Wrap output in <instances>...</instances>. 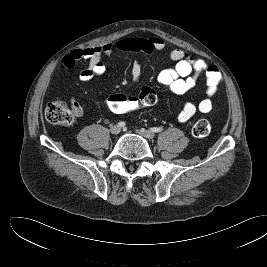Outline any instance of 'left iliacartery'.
<instances>
[{"mask_svg": "<svg viewBox=\"0 0 267 267\" xmlns=\"http://www.w3.org/2000/svg\"><path fill=\"white\" fill-rule=\"evenodd\" d=\"M150 130L153 131V132L158 133V132H162L163 131V128H161V127H153Z\"/></svg>", "mask_w": 267, "mask_h": 267, "instance_id": "44dca946", "label": "left iliac artery"}]
</instances>
